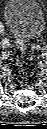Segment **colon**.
Listing matches in <instances>:
<instances>
[{"instance_id": "5ec220e1", "label": "colon", "mask_w": 47, "mask_h": 129, "mask_svg": "<svg viewBox=\"0 0 47 129\" xmlns=\"http://www.w3.org/2000/svg\"><path fill=\"white\" fill-rule=\"evenodd\" d=\"M17 44H18L19 48L23 49V45H22V43L18 39H17Z\"/></svg>"}]
</instances>
